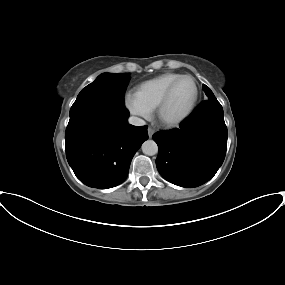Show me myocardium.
I'll list each match as a JSON object with an SVG mask.
<instances>
[{"label": "myocardium", "instance_id": "1", "mask_svg": "<svg viewBox=\"0 0 285 285\" xmlns=\"http://www.w3.org/2000/svg\"><path fill=\"white\" fill-rule=\"evenodd\" d=\"M184 78H188L191 79L194 87H195V95H194V99L190 105V107L188 108V110L181 115L180 117L176 118V119H167L164 117V109L171 97V94L174 90V88L176 87V85L179 83V81H181ZM199 85L197 80L189 74H183L180 75L178 78H176L174 81L171 82V84L167 87V89L165 90L163 96L161 97L159 103L157 104L156 107V116H157V120L158 123L165 127V128H175L180 126L182 123H184L195 111L197 105H198V101H199Z\"/></svg>", "mask_w": 285, "mask_h": 285}]
</instances>
